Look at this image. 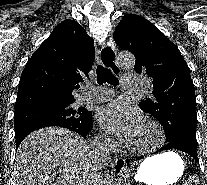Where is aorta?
Returning <instances> with one entry per match:
<instances>
[{
	"instance_id": "obj_1",
	"label": "aorta",
	"mask_w": 207,
	"mask_h": 185,
	"mask_svg": "<svg viewBox=\"0 0 207 185\" xmlns=\"http://www.w3.org/2000/svg\"><path fill=\"white\" fill-rule=\"evenodd\" d=\"M117 64L123 69H131L135 65V58L131 53H120L117 56ZM125 177H120L115 181V185H126Z\"/></svg>"
}]
</instances>
